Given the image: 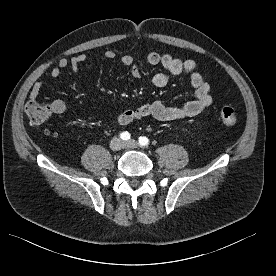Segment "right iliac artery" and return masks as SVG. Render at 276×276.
I'll use <instances>...</instances> for the list:
<instances>
[{
  "mask_svg": "<svg viewBox=\"0 0 276 276\" xmlns=\"http://www.w3.org/2000/svg\"><path fill=\"white\" fill-rule=\"evenodd\" d=\"M130 137H131V135H130V133L127 132V131H124V132L120 133V138H121L122 140H124V141L129 140Z\"/></svg>",
  "mask_w": 276,
  "mask_h": 276,
  "instance_id": "1",
  "label": "right iliac artery"
}]
</instances>
